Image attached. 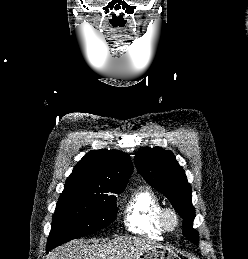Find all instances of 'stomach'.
<instances>
[{"label": "stomach", "mask_w": 248, "mask_h": 259, "mask_svg": "<svg viewBox=\"0 0 248 259\" xmlns=\"http://www.w3.org/2000/svg\"><path fill=\"white\" fill-rule=\"evenodd\" d=\"M138 259H181L171 249L163 246H154L142 253Z\"/></svg>", "instance_id": "stomach-1"}]
</instances>
